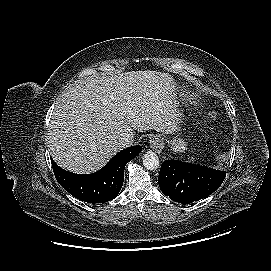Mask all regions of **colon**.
Instances as JSON below:
<instances>
[{"label": "colon", "mask_w": 271, "mask_h": 271, "mask_svg": "<svg viewBox=\"0 0 271 271\" xmlns=\"http://www.w3.org/2000/svg\"><path fill=\"white\" fill-rule=\"evenodd\" d=\"M207 117L209 118V119H211V120H216V114H215V112L214 111H209L208 113H207Z\"/></svg>", "instance_id": "colon-1"}]
</instances>
